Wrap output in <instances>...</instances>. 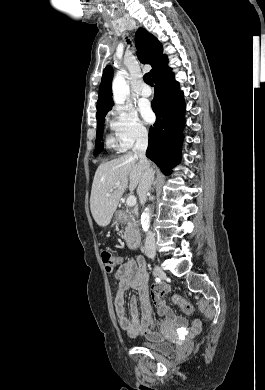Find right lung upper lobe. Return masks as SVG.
<instances>
[{
  "instance_id": "right-lung-upper-lobe-1",
  "label": "right lung upper lobe",
  "mask_w": 265,
  "mask_h": 390,
  "mask_svg": "<svg viewBox=\"0 0 265 390\" xmlns=\"http://www.w3.org/2000/svg\"><path fill=\"white\" fill-rule=\"evenodd\" d=\"M135 44L140 61L152 66L150 74L153 79L156 78L162 70L168 68L167 56L162 53L163 50L161 43L148 31L143 28H139L135 35ZM112 78L113 70L110 66H107L103 71L99 88L97 118L106 114L114 105L111 89Z\"/></svg>"
}]
</instances>
